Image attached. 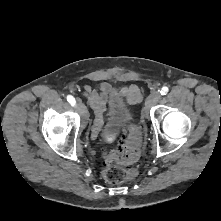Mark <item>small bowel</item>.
<instances>
[{
	"label": "small bowel",
	"instance_id": "c3829d8e",
	"mask_svg": "<svg viewBox=\"0 0 221 221\" xmlns=\"http://www.w3.org/2000/svg\"><path fill=\"white\" fill-rule=\"evenodd\" d=\"M112 86L108 83H101L97 88L89 85L84 86L82 94L87 98L90 106L94 110L95 119L92 127V137L95 138L106 123V113L108 105V96ZM123 94L129 101H137L141 96L140 89L131 85L123 88Z\"/></svg>",
	"mask_w": 221,
	"mask_h": 221
}]
</instances>
